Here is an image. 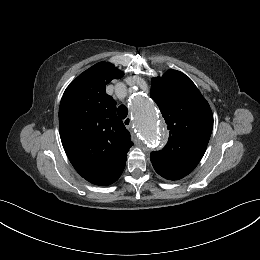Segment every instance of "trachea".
Here are the masks:
<instances>
[{"label": "trachea", "mask_w": 260, "mask_h": 260, "mask_svg": "<svg viewBox=\"0 0 260 260\" xmlns=\"http://www.w3.org/2000/svg\"><path fill=\"white\" fill-rule=\"evenodd\" d=\"M117 113L121 119H125L128 115V109L125 105H120L117 109Z\"/></svg>", "instance_id": "1"}]
</instances>
